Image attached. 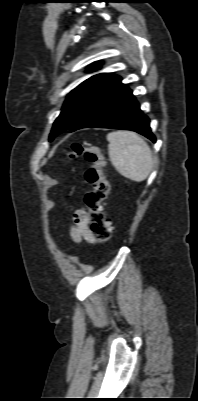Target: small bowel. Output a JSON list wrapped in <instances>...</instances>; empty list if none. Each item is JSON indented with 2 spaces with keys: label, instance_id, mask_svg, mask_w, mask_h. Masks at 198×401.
<instances>
[{
  "label": "small bowel",
  "instance_id": "1",
  "mask_svg": "<svg viewBox=\"0 0 198 401\" xmlns=\"http://www.w3.org/2000/svg\"><path fill=\"white\" fill-rule=\"evenodd\" d=\"M70 236L75 242H95L96 238L89 227L88 212L85 208H79L74 212L73 222L70 227Z\"/></svg>",
  "mask_w": 198,
  "mask_h": 401
}]
</instances>
